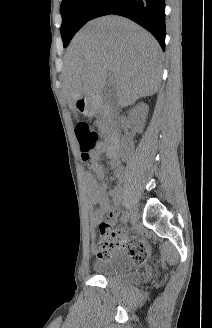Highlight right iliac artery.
<instances>
[{"label":"right iliac artery","instance_id":"right-iliac-artery-1","mask_svg":"<svg viewBox=\"0 0 212 328\" xmlns=\"http://www.w3.org/2000/svg\"><path fill=\"white\" fill-rule=\"evenodd\" d=\"M128 219H129V213L127 211L123 212V214H122V222L123 223H127Z\"/></svg>","mask_w":212,"mask_h":328}]
</instances>
